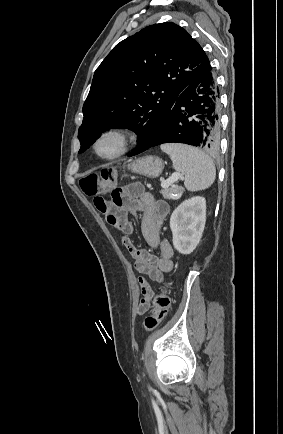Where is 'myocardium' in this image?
<instances>
[{
  "instance_id": "myocardium-1",
  "label": "myocardium",
  "mask_w": 283,
  "mask_h": 434,
  "mask_svg": "<svg viewBox=\"0 0 283 434\" xmlns=\"http://www.w3.org/2000/svg\"><path fill=\"white\" fill-rule=\"evenodd\" d=\"M112 142L114 149L111 152H103L102 144ZM131 144V133L128 129L120 126H113L102 130L92 143L93 152L103 160H113L124 155Z\"/></svg>"
}]
</instances>
